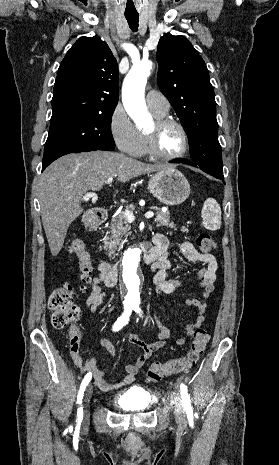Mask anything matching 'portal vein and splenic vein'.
Listing matches in <instances>:
<instances>
[{"instance_id": "obj_1", "label": "portal vein and splenic vein", "mask_w": 279, "mask_h": 465, "mask_svg": "<svg viewBox=\"0 0 279 465\" xmlns=\"http://www.w3.org/2000/svg\"><path fill=\"white\" fill-rule=\"evenodd\" d=\"M112 181H113V177H109V178L107 179L106 183H107V184H110V183H112ZM93 196H94L93 193H87V194L84 196V199H86V198H88V197H93ZM124 216H125L126 220L129 221V222H133V221L135 220L134 214H133L132 212L128 211V210H126V211L124 212ZM144 216H145V218L150 219V218H152V217L154 216V213L151 212V211H149V212L145 213Z\"/></svg>"}]
</instances>
